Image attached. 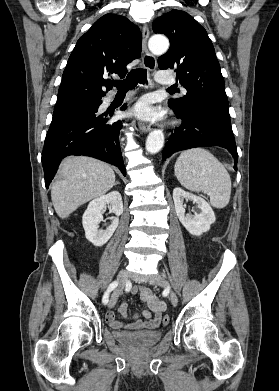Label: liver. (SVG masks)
<instances>
[{
  "mask_svg": "<svg viewBox=\"0 0 279 391\" xmlns=\"http://www.w3.org/2000/svg\"><path fill=\"white\" fill-rule=\"evenodd\" d=\"M114 185L115 173L105 162L69 156L61 162L59 179L51 186L54 209L60 218H67L79 206L104 195Z\"/></svg>",
  "mask_w": 279,
  "mask_h": 391,
  "instance_id": "liver-1",
  "label": "liver"
}]
</instances>
